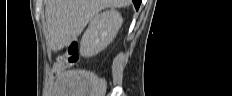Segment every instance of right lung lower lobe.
<instances>
[{"label": "right lung lower lobe", "mask_w": 232, "mask_h": 96, "mask_svg": "<svg viewBox=\"0 0 232 96\" xmlns=\"http://www.w3.org/2000/svg\"><path fill=\"white\" fill-rule=\"evenodd\" d=\"M132 1L134 3L136 10H138L142 0H132Z\"/></svg>", "instance_id": "1"}]
</instances>
